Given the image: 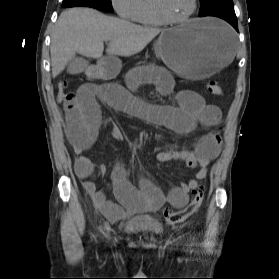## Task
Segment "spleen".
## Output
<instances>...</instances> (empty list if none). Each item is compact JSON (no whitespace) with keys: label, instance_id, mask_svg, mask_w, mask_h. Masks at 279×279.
<instances>
[{"label":"spleen","instance_id":"spleen-1","mask_svg":"<svg viewBox=\"0 0 279 279\" xmlns=\"http://www.w3.org/2000/svg\"><path fill=\"white\" fill-rule=\"evenodd\" d=\"M222 30H223L224 32H228V30H227L226 28H224V27H222Z\"/></svg>","mask_w":279,"mask_h":279}]
</instances>
